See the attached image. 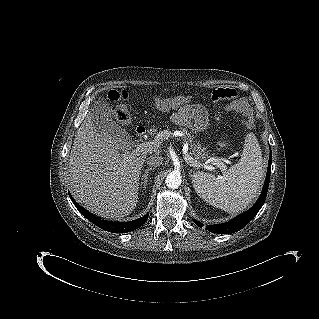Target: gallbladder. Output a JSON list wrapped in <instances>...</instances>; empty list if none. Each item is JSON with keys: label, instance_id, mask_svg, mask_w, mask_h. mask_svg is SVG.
I'll return each mask as SVG.
<instances>
[{"label": "gallbladder", "instance_id": "bac80fb5", "mask_svg": "<svg viewBox=\"0 0 319 319\" xmlns=\"http://www.w3.org/2000/svg\"><path fill=\"white\" fill-rule=\"evenodd\" d=\"M92 122L97 132L105 139L115 141L119 138H127L128 134L112 118L111 110L108 104L99 99L92 106Z\"/></svg>", "mask_w": 319, "mask_h": 319}]
</instances>
